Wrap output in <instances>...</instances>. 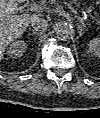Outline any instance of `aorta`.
I'll return each mask as SVG.
<instances>
[{"instance_id": "1", "label": "aorta", "mask_w": 100, "mask_h": 118, "mask_svg": "<svg viewBox=\"0 0 100 118\" xmlns=\"http://www.w3.org/2000/svg\"><path fill=\"white\" fill-rule=\"evenodd\" d=\"M73 34V28L67 23H60L56 27V36L60 40H68Z\"/></svg>"}]
</instances>
